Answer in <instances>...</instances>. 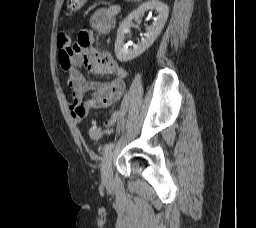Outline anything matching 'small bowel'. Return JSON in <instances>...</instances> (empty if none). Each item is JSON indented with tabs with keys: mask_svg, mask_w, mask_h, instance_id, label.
Listing matches in <instances>:
<instances>
[{
	"mask_svg": "<svg viewBox=\"0 0 256 228\" xmlns=\"http://www.w3.org/2000/svg\"><path fill=\"white\" fill-rule=\"evenodd\" d=\"M119 12L118 5L98 9L90 19L92 29L108 34ZM59 62L68 76L67 85L72 96L70 113L76 123H80L92 109L107 108L122 97L127 71L109 52L96 48L92 31H80L77 42L69 50L59 49ZM82 68L93 74L113 75L114 78L108 82L90 81L83 75ZM112 126L111 121L108 128Z\"/></svg>",
	"mask_w": 256,
	"mask_h": 228,
	"instance_id": "small-bowel-1",
	"label": "small bowel"
}]
</instances>
